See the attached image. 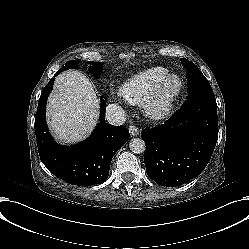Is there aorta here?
<instances>
[{"instance_id":"obj_1","label":"aorta","mask_w":249,"mask_h":249,"mask_svg":"<svg viewBox=\"0 0 249 249\" xmlns=\"http://www.w3.org/2000/svg\"><path fill=\"white\" fill-rule=\"evenodd\" d=\"M129 148L135 154H142L146 150V145L141 138H133L129 142Z\"/></svg>"}]
</instances>
